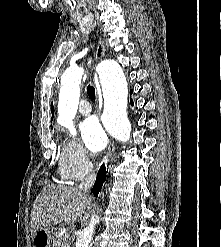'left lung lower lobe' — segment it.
I'll return each mask as SVG.
<instances>
[{
    "mask_svg": "<svg viewBox=\"0 0 221 247\" xmlns=\"http://www.w3.org/2000/svg\"><path fill=\"white\" fill-rule=\"evenodd\" d=\"M133 93V90H130V94H132ZM130 103H131V105H133V101L131 100L130 101Z\"/></svg>",
    "mask_w": 221,
    "mask_h": 247,
    "instance_id": "obj_1",
    "label": "left lung lower lobe"
}]
</instances>
